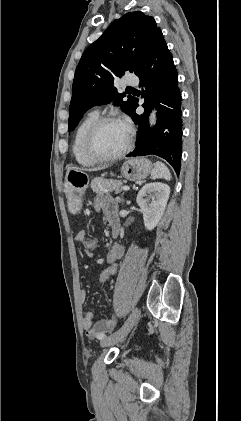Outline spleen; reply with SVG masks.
<instances>
[{
	"label": "spleen",
	"instance_id": "spleen-1",
	"mask_svg": "<svg viewBox=\"0 0 241 421\" xmlns=\"http://www.w3.org/2000/svg\"><path fill=\"white\" fill-rule=\"evenodd\" d=\"M151 176L153 179L171 180V173L168 167L162 162H156L152 169Z\"/></svg>",
	"mask_w": 241,
	"mask_h": 421
}]
</instances>
